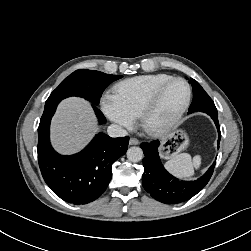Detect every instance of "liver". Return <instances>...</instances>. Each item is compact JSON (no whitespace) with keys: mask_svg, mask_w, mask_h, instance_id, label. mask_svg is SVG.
<instances>
[{"mask_svg":"<svg viewBox=\"0 0 251 251\" xmlns=\"http://www.w3.org/2000/svg\"><path fill=\"white\" fill-rule=\"evenodd\" d=\"M96 117L88 101L70 97L63 100L51 122V142L62 154L80 151L97 133Z\"/></svg>","mask_w":251,"mask_h":251,"instance_id":"liver-1","label":"liver"}]
</instances>
